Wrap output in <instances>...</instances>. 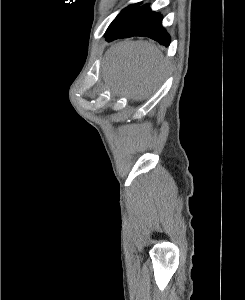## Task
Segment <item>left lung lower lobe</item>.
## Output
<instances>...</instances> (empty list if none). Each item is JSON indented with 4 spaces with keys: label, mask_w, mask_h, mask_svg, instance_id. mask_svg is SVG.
Listing matches in <instances>:
<instances>
[{
    "label": "left lung lower lobe",
    "mask_w": 245,
    "mask_h": 300,
    "mask_svg": "<svg viewBox=\"0 0 245 300\" xmlns=\"http://www.w3.org/2000/svg\"><path fill=\"white\" fill-rule=\"evenodd\" d=\"M162 15L153 12L148 5L135 7L113 27L106 31V41L133 36L149 37L168 46L170 36L162 27Z\"/></svg>",
    "instance_id": "obj_1"
}]
</instances>
